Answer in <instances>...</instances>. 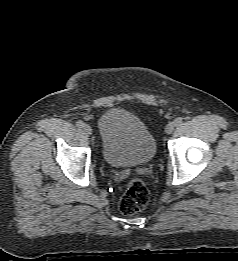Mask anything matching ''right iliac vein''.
Here are the masks:
<instances>
[{"label":"right iliac vein","instance_id":"63e3f726","mask_svg":"<svg viewBox=\"0 0 238 261\" xmlns=\"http://www.w3.org/2000/svg\"><path fill=\"white\" fill-rule=\"evenodd\" d=\"M83 130H84V132L87 135H91L92 134V128L89 125H87V124L84 125Z\"/></svg>","mask_w":238,"mask_h":261}]
</instances>
